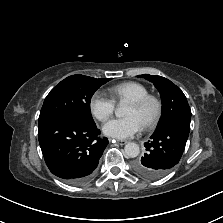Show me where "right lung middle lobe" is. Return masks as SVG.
<instances>
[{
  "label": "right lung middle lobe",
  "instance_id": "right-lung-middle-lobe-1",
  "mask_svg": "<svg viewBox=\"0 0 223 223\" xmlns=\"http://www.w3.org/2000/svg\"><path fill=\"white\" fill-rule=\"evenodd\" d=\"M110 79H96L80 74L65 78L45 98L39 123L59 115H72L94 124L90 111L91 98L95 91Z\"/></svg>",
  "mask_w": 223,
  "mask_h": 223
}]
</instances>
